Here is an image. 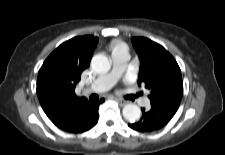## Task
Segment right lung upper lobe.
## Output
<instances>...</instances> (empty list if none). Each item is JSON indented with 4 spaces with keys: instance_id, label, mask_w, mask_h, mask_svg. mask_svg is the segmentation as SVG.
I'll return each mask as SVG.
<instances>
[{
    "instance_id": "cb5924a9",
    "label": "right lung upper lobe",
    "mask_w": 225,
    "mask_h": 155,
    "mask_svg": "<svg viewBox=\"0 0 225 155\" xmlns=\"http://www.w3.org/2000/svg\"><path fill=\"white\" fill-rule=\"evenodd\" d=\"M97 37L72 38L57 47L45 60L38 73L37 95L40 104L53 122H60L65 113L88 103L75 94L81 73L89 67Z\"/></svg>"
}]
</instances>
